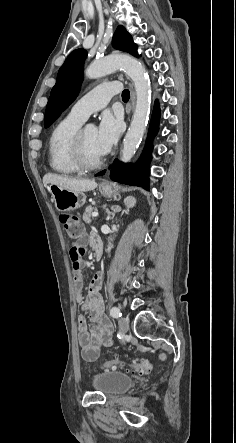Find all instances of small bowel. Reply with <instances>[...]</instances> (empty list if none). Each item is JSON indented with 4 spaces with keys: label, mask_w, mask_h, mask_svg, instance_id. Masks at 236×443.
I'll use <instances>...</instances> for the list:
<instances>
[{
    "label": "small bowel",
    "mask_w": 236,
    "mask_h": 443,
    "mask_svg": "<svg viewBox=\"0 0 236 443\" xmlns=\"http://www.w3.org/2000/svg\"><path fill=\"white\" fill-rule=\"evenodd\" d=\"M89 244L94 251L101 246L100 239L95 234L80 239L77 248L84 252L85 245ZM71 258V251H70ZM74 270V288L75 299L77 303L87 312L89 320L92 322V328L89 329L88 319L80 316L77 319L78 342L81 346L84 357L89 355V360L94 361L98 358L102 347H109L112 344V326L104 314V301L100 293L104 274L97 273L89 283L87 294L84 296L83 288V267Z\"/></svg>",
    "instance_id": "obj_1"
}]
</instances>
